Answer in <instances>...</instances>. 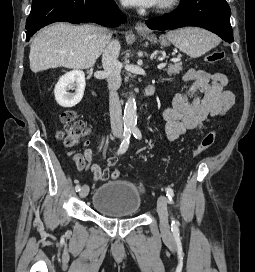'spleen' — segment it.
Instances as JSON below:
<instances>
[{"mask_svg":"<svg viewBox=\"0 0 255 272\" xmlns=\"http://www.w3.org/2000/svg\"><path fill=\"white\" fill-rule=\"evenodd\" d=\"M166 37L175 47L192 58L200 57L219 43L215 35L197 27L169 31Z\"/></svg>","mask_w":255,"mask_h":272,"instance_id":"spleen-1","label":"spleen"}]
</instances>
